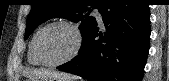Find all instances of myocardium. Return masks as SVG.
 <instances>
[{
    "instance_id": "f54148a6",
    "label": "myocardium",
    "mask_w": 169,
    "mask_h": 81,
    "mask_svg": "<svg viewBox=\"0 0 169 81\" xmlns=\"http://www.w3.org/2000/svg\"><path fill=\"white\" fill-rule=\"evenodd\" d=\"M54 26H65V27L69 28L75 36V45H74L72 51L70 52V54L68 56H66L64 59L57 61V62H47L42 58V56L40 54L39 40H40L41 35L46 30H48ZM82 42H83L82 33L76 24L66 21V20H57V21H53L51 23H48L47 25L43 26L37 32L35 40H34V54L41 65L46 66V67H50V68H54V67H58L62 64H65V63L71 61L80 51L81 46H82Z\"/></svg>"
}]
</instances>
